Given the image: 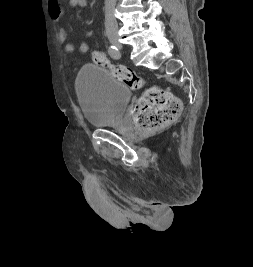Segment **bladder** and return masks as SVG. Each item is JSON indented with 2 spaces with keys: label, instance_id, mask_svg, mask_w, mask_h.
<instances>
[{
  "label": "bladder",
  "instance_id": "1",
  "mask_svg": "<svg viewBox=\"0 0 253 267\" xmlns=\"http://www.w3.org/2000/svg\"><path fill=\"white\" fill-rule=\"evenodd\" d=\"M76 89L83 117L93 127L115 123L132 96L127 84L96 65H86L80 70Z\"/></svg>",
  "mask_w": 253,
  "mask_h": 267
}]
</instances>
